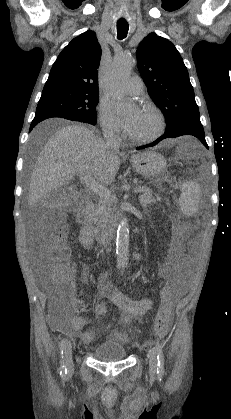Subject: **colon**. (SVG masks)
Listing matches in <instances>:
<instances>
[{"instance_id": "obj_1", "label": "colon", "mask_w": 231, "mask_h": 419, "mask_svg": "<svg viewBox=\"0 0 231 419\" xmlns=\"http://www.w3.org/2000/svg\"><path fill=\"white\" fill-rule=\"evenodd\" d=\"M177 250V242L172 240L166 250V255L170 258L175 256ZM70 247L66 241L65 233L58 234L49 244L46 251V258L48 264V278L55 286L63 283H72L74 274V266L70 261ZM178 292L177 284H165L164 290L159 292V297L163 299L162 304L158 310L156 321L154 325V332L157 336L163 337L167 333L168 322L171 312V300L174 293ZM98 314L104 316L106 314L105 306L98 308ZM126 339L125 336L122 337Z\"/></svg>"}]
</instances>
